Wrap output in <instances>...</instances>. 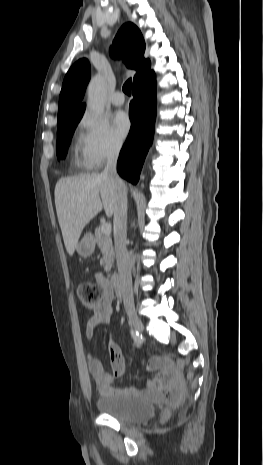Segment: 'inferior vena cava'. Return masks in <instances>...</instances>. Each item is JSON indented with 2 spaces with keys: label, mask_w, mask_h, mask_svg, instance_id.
I'll return each instance as SVG.
<instances>
[{
  "label": "inferior vena cava",
  "mask_w": 263,
  "mask_h": 465,
  "mask_svg": "<svg viewBox=\"0 0 263 465\" xmlns=\"http://www.w3.org/2000/svg\"><path fill=\"white\" fill-rule=\"evenodd\" d=\"M121 146L122 142H116L111 146L102 176L108 178L117 189V203L113 217L114 243L123 302L125 308L129 310L134 309V298L131 263L126 249L127 192L116 170Z\"/></svg>",
  "instance_id": "obj_1"
}]
</instances>
